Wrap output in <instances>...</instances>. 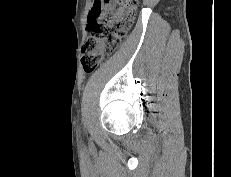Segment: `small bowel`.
<instances>
[{"label": "small bowel", "instance_id": "1", "mask_svg": "<svg viewBox=\"0 0 231 177\" xmlns=\"http://www.w3.org/2000/svg\"><path fill=\"white\" fill-rule=\"evenodd\" d=\"M96 1H97V0L94 1L93 7L95 6ZM105 4H106V5H109L106 9L104 8V5H105ZM112 8H113L112 2H109V3H101V12H100V15H99L98 19H100V18L104 15V11H105V10H106V11H110ZM92 9H93V8H92ZM91 11H92V10H91ZM90 14H91V12H90ZM90 14H89V16H90ZM88 19H89V17H88Z\"/></svg>", "mask_w": 231, "mask_h": 177}]
</instances>
